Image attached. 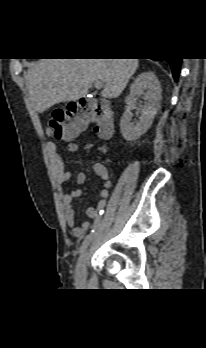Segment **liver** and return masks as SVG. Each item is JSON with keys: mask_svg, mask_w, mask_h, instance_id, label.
Wrapping results in <instances>:
<instances>
[{"mask_svg": "<svg viewBox=\"0 0 206 348\" xmlns=\"http://www.w3.org/2000/svg\"><path fill=\"white\" fill-rule=\"evenodd\" d=\"M138 68V59H40L31 64L27 86L42 113L60 102L85 97L94 81L104 83V98L118 97Z\"/></svg>", "mask_w": 206, "mask_h": 348, "instance_id": "liver-1", "label": "liver"}]
</instances>
